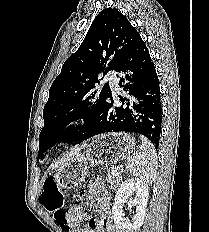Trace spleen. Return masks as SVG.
Here are the masks:
<instances>
[{
    "mask_svg": "<svg viewBox=\"0 0 209 232\" xmlns=\"http://www.w3.org/2000/svg\"><path fill=\"white\" fill-rule=\"evenodd\" d=\"M142 145L138 153L127 158L125 167L135 177L145 183L154 180L157 170V153L153 144L145 137H140Z\"/></svg>",
    "mask_w": 209,
    "mask_h": 232,
    "instance_id": "spleen-1",
    "label": "spleen"
}]
</instances>
